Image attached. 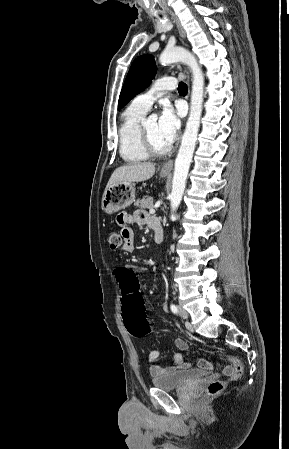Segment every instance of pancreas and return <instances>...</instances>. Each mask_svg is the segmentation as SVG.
I'll return each mask as SVG.
<instances>
[{
    "label": "pancreas",
    "instance_id": "1",
    "mask_svg": "<svg viewBox=\"0 0 289 449\" xmlns=\"http://www.w3.org/2000/svg\"><path fill=\"white\" fill-rule=\"evenodd\" d=\"M135 206L140 208H151L153 206V199L151 197H143L141 200L135 202Z\"/></svg>",
    "mask_w": 289,
    "mask_h": 449
}]
</instances>
